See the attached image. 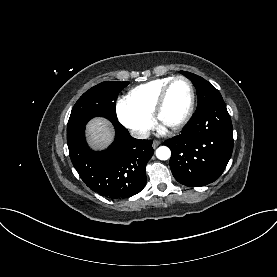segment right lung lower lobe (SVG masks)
Here are the masks:
<instances>
[{
  "mask_svg": "<svg viewBox=\"0 0 277 277\" xmlns=\"http://www.w3.org/2000/svg\"><path fill=\"white\" fill-rule=\"evenodd\" d=\"M115 141L95 152L85 140V128L67 139L72 164L91 190L110 199L130 197L146 185V164L154 150L151 140L130 136L119 122L113 123Z\"/></svg>",
  "mask_w": 277,
  "mask_h": 277,
  "instance_id": "1",
  "label": "right lung lower lobe"
}]
</instances>
